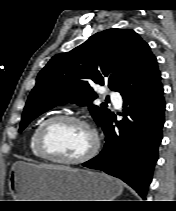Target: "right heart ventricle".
I'll list each match as a JSON object with an SVG mask.
<instances>
[{"label":"right heart ventricle","instance_id":"e07e8e85","mask_svg":"<svg viewBox=\"0 0 176 211\" xmlns=\"http://www.w3.org/2000/svg\"><path fill=\"white\" fill-rule=\"evenodd\" d=\"M43 121H44V120L38 122V123L34 126L32 132H31V134H30V137H29V149H30L31 154H32L35 158H37V159H42V160H44V159H46V158H45L44 156H42V155L38 152V150H37V148H36L35 139H36L37 129H38V127L40 126V124H41Z\"/></svg>","mask_w":176,"mask_h":211}]
</instances>
